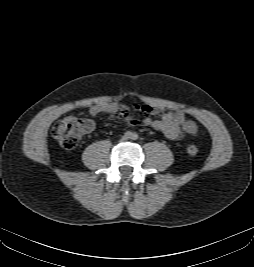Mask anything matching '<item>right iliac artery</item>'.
I'll use <instances>...</instances> for the list:
<instances>
[{
	"mask_svg": "<svg viewBox=\"0 0 254 267\" xmlns=\"http://www.w3.org/2000/svg\"><path fill=\"white\" fill-rule=\"evenodd\" d=\"M131 135H132V133H131V132H129V131H127V132L125 133V137H127V138H130V137H131Z\"/></svg>",
	"mask_w": 254,
	"mask_h": 267,
	"instance_id": "1",
	"label": "right iliac artery"
}]
</instances>
